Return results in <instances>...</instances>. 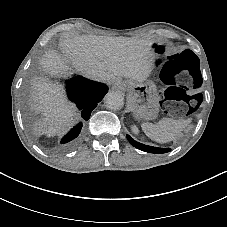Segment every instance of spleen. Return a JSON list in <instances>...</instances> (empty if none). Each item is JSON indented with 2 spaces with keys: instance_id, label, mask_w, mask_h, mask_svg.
<instances>
[{
  "instance_id": "spleen-1",
  "label": "spleen",
  "mask_w": 227,
  "mask_h": 227,
  "mask_svg": "<svg viewBox=\"0 0 227 227\" xmlns=\"http://www.w3.org/2000/svg\"><path fill=\"white\" fill-rule=\"evenodd\" d=\"M191 121V118L186 120L163 118L156 124L143 123L141 127L145 134L152 140L158 143H166L175 140L181 130L190 124Z\"/></svg>"
}]
</instances>
